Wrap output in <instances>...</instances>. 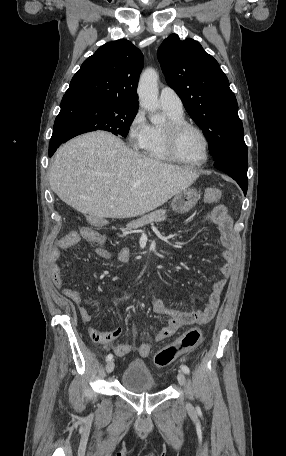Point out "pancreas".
Listing matches in <instances>:
<instances>
[{
  "label": "pancreas",
  "mask_w": 286,
  "mask_h": 456,
  "mask_svg": "<svg viewBox=\"0 0 286 456\" xmlns=\"http://www.w3.org/2000/svg\"><path fill=\"white\" fill-rule=\"evenodd\" d=\"M165 220H166V210L159 209V210H156L137 220L131 221L130 223L127 224L126 228H124L123 230L128 232V231H132L134 229H138L149 223H153V222L158 223V222H162Z\"/></svg>",
  "instance_id": "1"
}]
</instances>
